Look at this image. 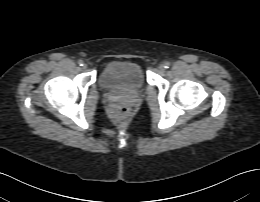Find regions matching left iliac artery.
<instances>
[{"label": "left iliac artery", "instance_id": "obj_1", "mask_svg": "<svg viewBox=\"0 0 260 202\" xmlns=\"http://www.w3.org/2000/svg\"><path fill=\"white\" fill-rule=\"evenodd\" d=\"M164 67H165L166 69L169 68V67H170V62H168V61L165 62V63H164Z\"/></svg>", "mask_w": 260, "mask_h": 202}]
</instances>
